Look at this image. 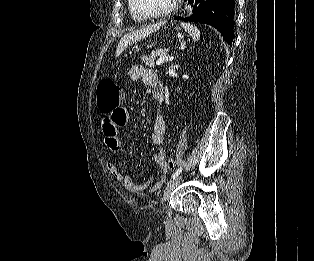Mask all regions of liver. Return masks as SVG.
I'll return each mask as SVG.
<instances>
[{"label": "liver", "instance_id": "1", "mask_svg": "<svg viewBox=\"0 0 314 261\" xmlns=\"http://www.w3.org/2000/svg\"><path fill=\"white\" fill-rule=\"evenodd\" d=\"M156 28H157V25H151L141 30L134 31V32L124 35L118 43V46L116 49V57H118L129 45L145 38L146 36L151 34L154 30H156Z\"/></svg>", "mask_w": 314, "mask_h": 261}]
</instances>
